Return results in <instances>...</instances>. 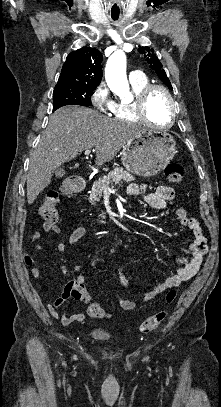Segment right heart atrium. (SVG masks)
<instances>
[{
	"instance_id": "1",
	"label": "right heart atrium",
	"mask_w": 221,
	"mask_h": 407,
	"mask_svg": "<svg viewBox=\"0 0 221 407\" xmlns=\"http://www.w3.org/2000/svg\"><path fill=\"white\" fill-rule=\"evenodd\" d=\"M91 103L100 112L107 113L113 111L115 101L111 97L105 82L99 83L94 89L91 94Z\"/></svg>"
}]
</instances>
